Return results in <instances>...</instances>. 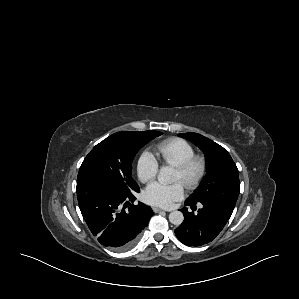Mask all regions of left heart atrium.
<instances>
[{"label": "left heart atrium", "mask_w": 299, "mask_h": 299, "mask_svg": "<svg viewBox=\"0 0 299 299\" xmlns=\"http://www.w3.org/2000/svg\"><path fill=\"white\" fill-rule=\"evenodd\" d=\"M184 195V187L181 182L163 184L153 182L147 186L144 192L146 202L161 207H170Z\"/></svg>", "instance_id": "left-heart-atrium-1"}]
</instances>
